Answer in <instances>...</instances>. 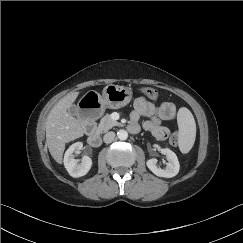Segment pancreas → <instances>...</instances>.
<instances>
[{
  "label": "pancreas",
  "instance_id": "obj_1",
  "mask_svg": "<svg viewBox=\"0 0 243 243\" xmlns=\"http://www.w3.org/2000/svg\"><path fill=\"white\" fill-rule=\"evenodd\" d=\"M119 125H120V123H118L117 121L113 120L109 114H106L100 120V123L98 125L97 130L100 133H104V132L110 130L111 128H113L114 126H119Z\"/></svg>",
  "mask_w": 243,
  "mask_h": 243
}]
</instances>
